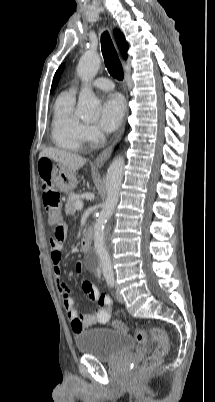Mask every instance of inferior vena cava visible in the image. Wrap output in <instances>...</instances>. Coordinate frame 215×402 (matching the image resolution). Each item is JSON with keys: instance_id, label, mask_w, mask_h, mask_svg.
<instances>
[{"instance_id": "inferior-vena-cava-1", "label": "inferior vena cava", "mask_w": 215, "mask_h": 402, "mask_svg": "<svg viewBox=\"0 0 215 402\" xmlns=\"http://www.w3.org/2000/svg\"><path fill=\"white\" fill-rule=\"evenodd\" d=\"M105 141H106V138H105L104 134H103V133L100 134V143H101V144H104Z\"/></svg>"}]
</instances>
